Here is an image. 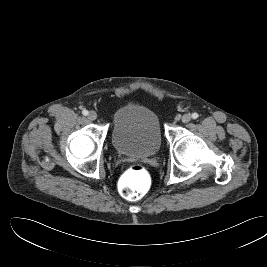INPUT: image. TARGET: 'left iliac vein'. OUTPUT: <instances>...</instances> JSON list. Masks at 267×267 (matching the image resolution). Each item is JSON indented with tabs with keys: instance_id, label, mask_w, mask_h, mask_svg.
Returning a JSON list of instances; mask_svg holds the SVG:
<instances>
[{
	"instance_id": "obj_1",
	"label": "left iliac vein",
	"mask_w": 267,
	"mask_h": 267,
	"mask_svg": "<svg viewBox=\"0 0 267 267\" xmlns=\"http://www.w3.org/2000/svg\"><path fill=\"white\" fill-rule=\"evenodd\" d=\"M183 123H188L191 120L190 114H184L181 118Z\"/></svg>"
}]
</instances>
